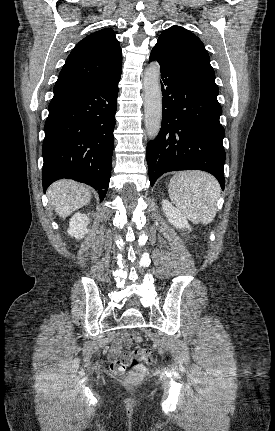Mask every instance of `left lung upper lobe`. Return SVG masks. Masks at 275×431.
<instances>
[{
	"label": "left lung upper lobe",
	"mask_w": 275,
	"mask_h": 431,
	"mask_svg": "<svg viewBox=\"0 0 275 431\" xmlns=\"http://www.w3.org/2000/svg\"><path fill=\"white\" fill-rule=\"evenodd\" d=\"M153 50L184 72L205 94L217 101L219 90L215 84V73L210 65L209 54L195 34L183 27L172 26L161 33Z\"/></svg>",
	"instance_id": "obj_1"
}]
</instances>
